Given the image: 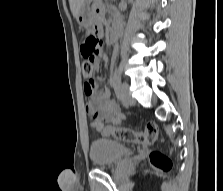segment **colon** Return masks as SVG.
<instances>
[{"label": "colon", "instance_id": "colon-1", "mask_svg": "<svg viewBox=\"0 0 223 191\" xmlns=\"http://www.w3.org/2000/svg\"><path fill=\"white\" fill-rule=\"evenodd\" d=\"M101 40L95 34L85 38L81 45L83 62L81 65L82 75L87 83H92L95 70L96 57L101 48ZM102 134L106 137L112 136L120 141L133 144H153L158 138V129L154 122H147L144 131H136L116 126L104 127ZM152 167L160 172L169 173L173 164L171 159L159 150L150 153Z\"/></svg>", "mask_w": 223, "mask_h": 191}]
</instances>
